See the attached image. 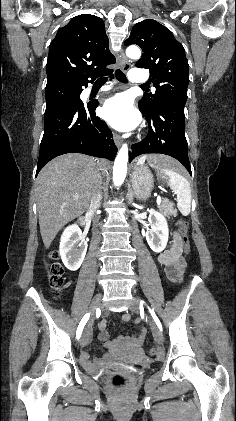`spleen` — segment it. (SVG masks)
Wrapping results in <instances>:
<instances>
[{
  "mask_svg": "<svg viewBox=\"0 0 236 421\" xmlns=\"http://www.w3.org/2000/svg\"><path fill=\"white\" fill-rule=\"evenodd\" d=\"M146 156H141L137 164H144ZM154 168H158L155 164H151ZM164 168L160 170H165L166 174L169 176L168 184L172 188L174 194H177V206L183 217H187L191 211V186L185 176L179 174L175 168H172L168 162L162 164Z\"/></svg>",
  "mask_w": 236,
  "mask_h": 421,
  "instance_id": "spleen-1",
  "label": "spleen"
}]
</instances>
